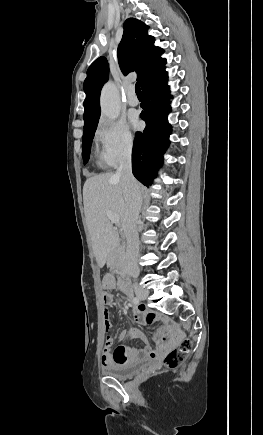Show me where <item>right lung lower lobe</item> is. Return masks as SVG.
Returning <instances> with one entry per match:
<instances>
[{
    "label": "right lung lower lobe",
    "instance_id": "right-lung-lower-lobe-1",
    "mask_svg": "<svg viewBox=\"0 0 263 435\" xmlns=\"http://www.w3.org/2000/svg\"><path fill=\"white\" fill-rule=\"evenodd\" d=\"M165 69L148 81L143 87V111L140 114L146 122L143 132H137L132 152V172L144 185L153 183L157 169L163 163V154L169 146L171 126L168 114L171 112L170 88Z\"/></svg>",
    "mask_w": 263,
    "mask_h": 435
}]
</instances>
